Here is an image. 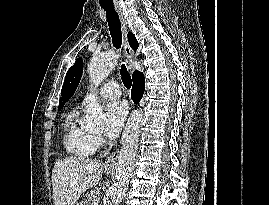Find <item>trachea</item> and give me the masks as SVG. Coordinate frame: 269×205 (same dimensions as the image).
<instances>
[{
	"label": "trachea",
	"instance_id": "obj_1",
	"mask_svg": "<svg viewBox=\"0 0 269 205\" xmlns=\"http://www.w3.org/2000/svg\"><path fill=\"white\" fill-rule=\"evenodd\" d=\"M101 7L106 12V18L109 26L110 35L112 37V43L116 49H120L122 44V33L118 14L114 6L101 5ZM120 74L125 87L128 89L131 88L132 79L124 64L121 65Z\"/></svg>",
	"mask_w": 269,
	"mask_h": 205
}]
</instances>
